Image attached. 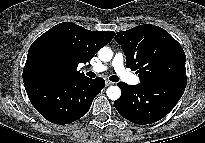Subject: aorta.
I'll return each mask as SVG.
<instances>
[{
  "label": "aorta",
  "mask_w": 205,
  "mask_h": 143,
  "mask_svg": "<svg viewBox=\"0 0 205 143\" xmlns=\"http://www.w3.org/2000/svg\"><path fill=\"white\" fill-rule=\"evenodd\" d=\"M99 58L104 62H109L113 57V52L109 47H103L99 50ZM106 94L112 101L118 100L121 96V90L118 86H110L107 88Z\"/></svg>",
  "instance_id": "1"
}]
</instances>
